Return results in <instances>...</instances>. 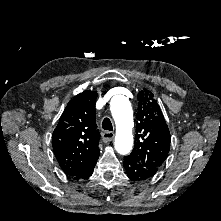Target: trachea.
Instances as JSON below:
<instances>
[{
  "instance_id": "3493384b",
  "label": "trachea",
  "mask_w": 221,
  "mask_h": 221,
  "mask_svg": "<svg viewBox=\"0 0 221 221\" xmlns=\"http://www.w3.org/2000/svg\"><path fill=\"white\" fill-rule=\"evenodd\" d=\"M102 128L106 131H112L113 126L109 118H105L102 122Z\"/></svg>"
}]
</instances>
